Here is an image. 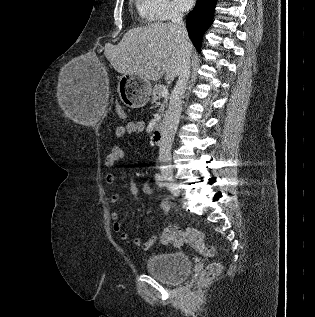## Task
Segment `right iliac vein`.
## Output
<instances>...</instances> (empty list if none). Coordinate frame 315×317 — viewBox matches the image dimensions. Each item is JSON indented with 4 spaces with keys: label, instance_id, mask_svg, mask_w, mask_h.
Returning <instances> with one entry per match:
<instances>
[{
    "label": "right iliac vein",
    "instance_id": "obj_1",
    "mask_svg": "<svg viewBox=\"0 0 315 317\" xmlns=\"http://www.w3.org/2000/svg\"><path fill=\"white\" fill-rule=\"evenodd\" d=\"M162 175L171 193L178 195L180 193L179 185L173 180L172 175L169 172H163Z\"/></svg>",
    "mask_w": 315,
    "mask_h": 317
}]
</instances>
